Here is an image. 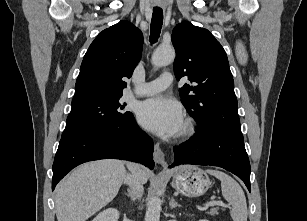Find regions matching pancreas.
<instances>
[{
    "instance_id": "cf45deb5",
    "label": "pancreas",
    "mask_w": 307,
    "mask_h": 221,
    "mask_svg": "<svg viewBox=\"0 0 307 221\" xmlns=\"http://www.w3.org/2000/svg\"><path fill=\"white\" fill-rule=\"evenodd\" d=\"M209 215H217L218 214V208H212L209 212Z\"/></svg>"
}]
</instances>
